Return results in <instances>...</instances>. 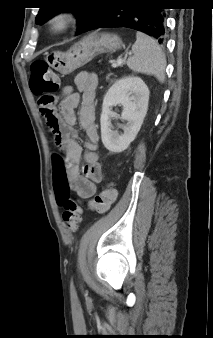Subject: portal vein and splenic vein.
<instances>
[{
    "label": "portal vein and splenic vein",
    "instance_id": "1",
    "mask_svg": "<svg viewBox=\"0 0 213 338\" xmlns=\"http://www.w3.org/2000/svg\"><path fill=\"white\" fill-rule=\"evenodd\" d=\"M125 61V59H118L116 62L112 63V67L116 68L118 66H120L123 62Z\"/></svg>",
    "mask_w": 213,
    "mask_h": 338
}]
</instances>
